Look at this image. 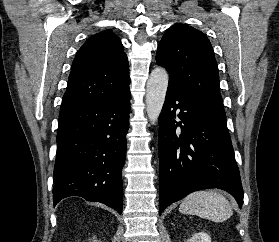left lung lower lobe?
I'll list each match as a JSON object with an SVG mask.
<instances>
[{"label": "left lung lower lobe", "mask_w": 279, "mask_h": 242, "mask_svg": "<svg viewBox=\"0 0 279 242\" xmlns=\"http://www.w3.org/2000/svg\"><path fill=\"white\" fill-rule=\"evenodd\" d=\"M159 162V214L186 195L206 188L225 190L243 204L226 121L170 81L159 116Z\"/></svg>", "instance_id": "0a47b994"}]
</instances>
